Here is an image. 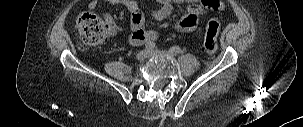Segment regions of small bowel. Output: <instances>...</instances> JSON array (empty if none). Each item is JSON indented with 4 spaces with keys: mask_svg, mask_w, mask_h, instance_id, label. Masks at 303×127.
Masks as SVG:
<instances>
[{
    "mask_svg": "<svg viewBox=\"0 0 303 127\" xmlns=\"http://www.w3.org/2000/svg\"><path fill=\"white\" fill-rule=\"evenodd\" d=\"M112 5H122L131 13V35L129 42L132 45L154 43L158 35L155 31L144 29L145 15L139 8L137 0H104ZM158 6L152 9L149 16L154 21H161L168 17L173 9V2L189 3L185 15L177 22V28L180 31L190 32L193 31L198 24L201 16L207 14L209 10L219 11L224 8L220 0H156ZM98 5V0H91L88 3V9L94 10ZM106 22L110 27L113 35H116L120 28L114 18L106 14L104 16Z\"/></svg>",
    "mask_w": 303,
    "mask_h": 127,
    "instance_id": "c3829d8e",
    "label": "small bowel"
}]
</instances>
